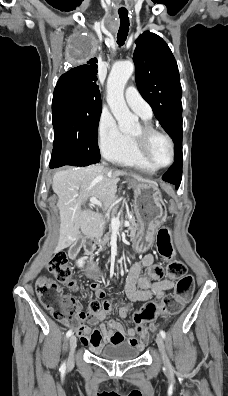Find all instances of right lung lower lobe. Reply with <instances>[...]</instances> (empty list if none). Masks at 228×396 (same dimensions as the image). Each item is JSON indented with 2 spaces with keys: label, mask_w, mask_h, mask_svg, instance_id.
I'll return each mask as SVG.
<instances>
[{
  "label": "right lung lower lobe",
  "mask_w": 228,
  "mask_h": 396,
  "mask_svg": "<svg viewBox=\"0 0 228 396\" xmlns=\"http://www.w3.org/2000/svg\"><path fill=\"white\" fill-rule=\"evenodd\" d=\"M64 165H65V163L60 162V161H56V160H53V159H51V161H50V168H57V167H61V166H64Z\"/></svg>",
  "instance_id": "98d812e1"
}]
</instances>
